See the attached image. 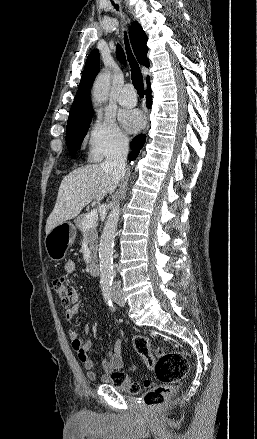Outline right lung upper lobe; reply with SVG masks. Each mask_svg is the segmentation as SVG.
<instances>
[{
  "instance_id": "right-lung-upper-lobe-1",
  "label": "right lung upper lobe",
  "mask_w": 257,
  "mask_h": 439,
  "mask_svg": "<svg viewBox=\"0 0 257 439\" xmlns=\"http://www.w3.org/2000/svg\"><path fill=\"white\" fill-rule=\"evenodd\" d=\"M129 36L134 53L139 63L145 65L146 67H149V61L147 59L148 47L146 46L148 38L138 22L134 21L132 23L131 27L129 28ZM116 54L118 60L124 63L125 55L121 47L117 46ZM99 66V51L95 49L87 57L80 85L76 93L74 102L72 103L68 119L93 113L92 106L90 105V89L96 75L99 72ZM148 78L149 77H147V79Z\"/></svg>"
}]
</instances>
